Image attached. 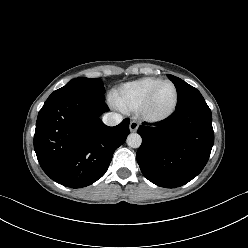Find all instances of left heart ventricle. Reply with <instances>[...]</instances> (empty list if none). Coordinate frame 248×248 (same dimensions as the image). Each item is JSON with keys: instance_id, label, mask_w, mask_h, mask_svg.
Segmentation results:
<instances>
[{"instance_id": "left-heart-ventricle-1", "label": "left heart ventricle", "mask_w": 248, "mask_h": 248, "mask_svg": "<svg viewBox=\"0 0 248 248\" xmlns=\"http://www.w3.org/2000/svg\"><path fill=\"white\" fill-rule=\"evenodd\" d=\"M174 101V90L169 84H164L154 94L148 111L152 115H160L167 112Z\"/></svg>"}]
</instances>
